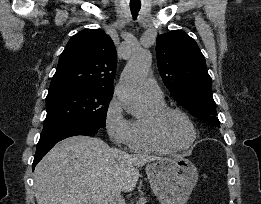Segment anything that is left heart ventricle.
<instances>
[{"label":"left heart ventricle","mask_w":261,"mask_h":204,"mask_svg":"<svg viewBox=\"0 0 261 204\" xmlns=\"http://www.w3.org/2000/svg\"><path fill=\"white\" fill-rule=\"evenodd\" d=\"M164 131L167 138L177 146L188 144L193 136L192 129L187 121L176 114L167 118Z\"/></svg>","instance_id":"obj_1"}]
</instances>
